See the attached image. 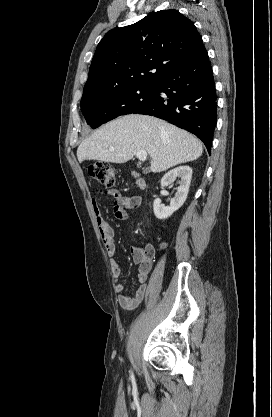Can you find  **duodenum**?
<instances>
[{
    "label": "duodenum",
    "instance_id": "1",
    "mask_svg": "<svg viewBox=\"0 0 272 417\" xmlns=\"http://www.w3.org/2000/svg\"><path fill=\"white\" fill-rule=\"evenodd\" d=\"M134 176L136 178V183H137L138 187L142 189L144 187L143 179L140 178L138 174H134Z\"/></svg>",
    "mask_w": 272,
    "mask_h": 417
}]
</instances>
